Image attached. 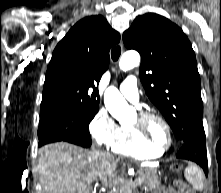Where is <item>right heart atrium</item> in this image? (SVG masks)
I'll return each mask as SVG.
<instances>
[{"label":"right heart atrium","instance_id":"obj_1","mask_svg":"<svg viewBox=\"0 0 221 193\" xmlns=\"http://www.w3.org/2000/svg\"><path fill=\"white\" fill-rule=\"evenodd\" d=\"M89 131L98 145L110 147L119 136L120 125L106 109L101 108L92 118Z\"/></svg>","mask_w":221,"mask_h":193}]
</instances>
